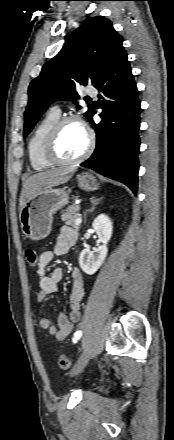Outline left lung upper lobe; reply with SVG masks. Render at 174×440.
Masks as SVG:
<instances>
[{"label":"left lung upper lobe","instance_id":"obj_1","mask_svg":"<svg viewBox=\"0 0 174 440\" xmlns=\"http://www.w3.org/2000/svg\"><path fill=\"white\" fill-rule=\"evenodd\" d=\"M122 42L109 19L103 16L86 19L30 83L24 136L30 133L51 103L79 98L76 85L92 83L96 87L109 64L124 50ZM91 111L89 106L84 114L86 118Z\"/></svg>","mask_w":174,"mask_h":440}]
</instances>
